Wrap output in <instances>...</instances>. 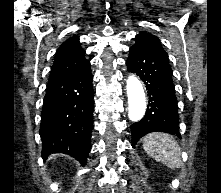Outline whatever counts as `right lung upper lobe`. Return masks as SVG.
Listing matches in <instances>:
<instances>
[{
	"label": "right lung upper lobe",
	"mask_w": 221,
	"mask_h": 193,
	"mask_svg": "<svg viewBox=\"0 0 221 193\" xmlns=\"http://www.w3.org/2000/svg\"><path fill=\"white\" fill-rule=\"evenodd\" d=\"M85 50L80 46L78 37L66 40L57 50L50 78L72 73L83 68L88 60Z\"/></svg>",
	"instance_id": "1"
}]
</instances>
